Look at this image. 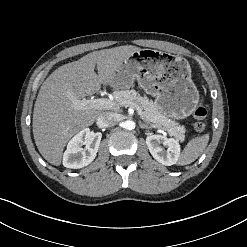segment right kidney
<instances>
[{
    "mask_svg": "<svg viewBox=\"0 0 247 247\" xmlns=\"http://www.w3.org/2000/svg\"><path fill=\"white\" fill-rule=\"evenodd\" d=\"M101 138L100 132L94 133L89 128L80 131L68 142L63 154V165L71 169L89 165L96 157ZM83 145H86L84 149Z\"/></svg>",
    "mask_w": 247,
    "mask_h": 247,
    "instance_id": "right-kidney-1",
    "label": "right kidney"
}]
</instances>
